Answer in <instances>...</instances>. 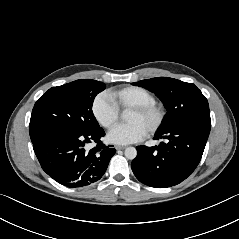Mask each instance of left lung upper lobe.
<instances>
[{
    "instance_id": "1",
    "label": "left lung upper lobe",
    "mask_w": 239,
    "mask_h": 239,
    "mask_svg": "<svg viewBox=\"0 0 239 239\" xmlns=\"http://www.w3.org/2000/svg\"><path fill=\"white\" fill-rule=\"evenodd\" d=\"M132 84L155 93L164 103L167 114L158 130L184 123L211 125L208 101L194 84L168 77L145 79Z\"/></svg>"
}]
</instances>
